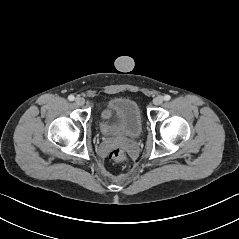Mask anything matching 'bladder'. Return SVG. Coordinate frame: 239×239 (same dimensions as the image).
Listing matches in <instances>:
<instances>
[{
  "mask_svg": "<svg viewBox=\"0 0 239 239\" xmlns=\"http://www.w3.org/2000/svg\"><path fill=\"white\" fill-rule=\"evenodd\" d=\"M110 114V118L106 114ZM100 129L105 137L135 139L142 132V117L138 104L130 98L115 97L108 101Z\"/></svg>",
  "mask_w": 239,
  "mask_h": 239,
  "instance_id": "31cf9c89",
  "label": "bladder"
}]
</instances>
